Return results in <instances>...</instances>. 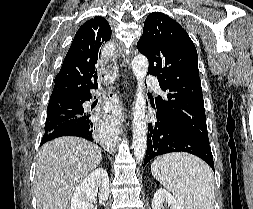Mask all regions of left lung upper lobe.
<instances>
[{
	"instance_id": "obj_1",
	"label": "left lung upper lobe",
	"mask_w": 253,
	"mask_h": 209,
	"mask_svg": "<svg viewBox=\"0 0 253 209\" xmlns=\"http://www.w3.org/2000/svg\"><path fill=\"white\" fill-rule=\"evenodd\" d=\"M137 49L148 58V74L157 76L166 98H155L157 115L179 130L209 142L198 56L187 32L160 12L145 20Z\"/></svg>"
}]
</instances>
